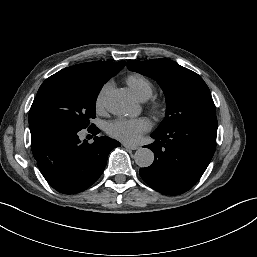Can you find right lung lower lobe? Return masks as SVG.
Instances as JSON below:
<instances>
[{
	"label": "right lung lower lobe",
	"mask_w": 257,
	"mask_h": 257,
	"mask_svg": "<svg viewBox=\"0 0 257 257\" xmlns=\"http://www.w3.org/2000/svg\"><path fill=\"white\" fill-rule=\"evenodd\" d=\"M31 148L40 172L58 192L75 194L91 186L103 173L108 154L120 143L107 137L81 142L77 130L46 124L30 126ZM97 127L89 129L96 135Z\"/></svg>",
	"instance_id": "1"
}]
</instances>
